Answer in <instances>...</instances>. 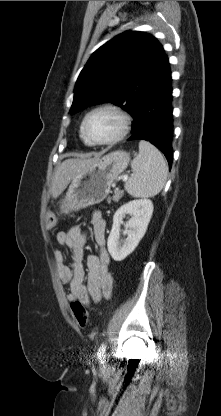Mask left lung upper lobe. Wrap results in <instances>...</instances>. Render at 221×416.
<instances>
[{"label":"left lung upper lobe","mask_w":221,"mask_h":416,"mask_svg":"<svg viewBox=\"0 0 221 416\" xmlns=\"http://www.w3.org/2000/svg\"><path fill=\"white\" fill-rule=\"evenodd\" d=\"M164 59L162 45L150 34L129 31L111 39L93 53L82 69L70 113L110 102L134 117Z\"/></svg>","instance_id":"obj_1"}]
</instances>
